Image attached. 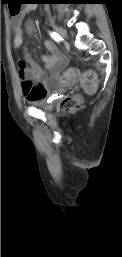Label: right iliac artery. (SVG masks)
<instances>
[{"label":"right iliac artery","mask_w":122,"mask_h":257,"mask_svg":"<svg viewBox=\"0 0 122 257\" xmlns=\"http://www.w3.org/2000/svg\"><path fill=\"white\" fill-rule=\"evenodd\" d=\"M50 36L56 41L59 42L61 37L56 32H50Z\"/></svg>","instance_id":"82829eb1"}]
</instances>
